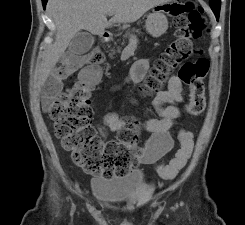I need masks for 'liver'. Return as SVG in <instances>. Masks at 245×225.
Wrapping results in <instances>:
<instances>
[{"label":"liver","mask_w":245,"mask_h":225,"mask_svg":"<svg viewBox=\"0 0 245 225\" xmlns=\"http://www.w3.org/2000/svg\"><path fill=\"white\" fill-rule=\"evenodd\" d=\"M170 0H49L47 11L53 18L56 34L47 50L38 72L42 85L52 68L64 54L72 38L82 29L94 35H103L113 23H132L148 10ZM114 12L111 21L106 15Z\"/></svg>","instance_id":"1"}]
</instances>
